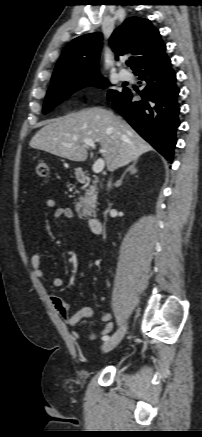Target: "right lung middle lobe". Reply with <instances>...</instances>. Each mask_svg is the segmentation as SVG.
Returning a JSON list of instances; mask_svg holds the SVG:
<instances>
[{
  "label": "right lung middle lobe",
  "instance_id": "right-lung-middle-lobe-1",
  "mask_svg": "<svg viewBox=\"0 0 202 437\" xmlns=\"http://www.w3.org/2000/svg\"><path fill=\"white\" fill-rule=\"evenodd\" d=\"M91 85H95L100 88H107L110 83L101 75H88L51 84L45 98L43 113L47 114L54 107L68 98L72 93ZM119 93L120 92L117 90L110 89L108 91V99Z\"/></svg>",
  "mask_w": 202,
  "mask_h": 437
}]
</instances>
